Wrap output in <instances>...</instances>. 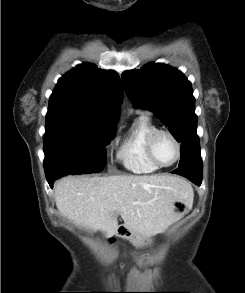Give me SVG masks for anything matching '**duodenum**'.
<instances>
[{
    "label": "duodenum",
    "instance_id": "obj_1",
    "mask_svg": "<svg viewBox=\"0 0 245 293\" xmlns=\"http://www.w3.org/2000/svg\"><path fill=\"white\" fill-rule=\"evenodd\" d=\"M113 231L116 237H126L129 234V230L125 226H115Z\"/></svg>",
    "mask_w": 245,
    "mask_h": 293
}]
</instances>
